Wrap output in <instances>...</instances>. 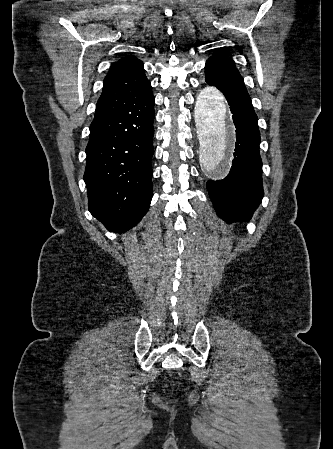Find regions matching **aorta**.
I'll use <instances>...</instances> for the list:
<instances>
[{"label":"aorta","instance_id":"obj_1","mask_svg":"<svg viewBox=\"0 0 333 449\" xmlns=\"http://www.w3.org/2000/svg\"><path fill=\"white\" fill-rule=\"evenodd\" d=\"M195 116L202 140L199 161L218 176L228 166L235 143L226 97L213 86L203 87L196 102Z\"/></svg>","mask_w":333,"mask_h":449}]
</instances>
